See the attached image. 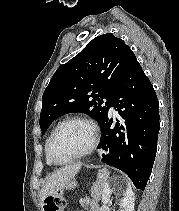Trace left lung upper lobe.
Instances as JSON below:
<instances>
[{
  "instance_id": "1",
  "label": "left lung upper lobe",
  "mask_w": 179,
  "mask_h": 211,
  "mask_svg": "<svg viewBox=\"0 0 179 211\" xmlns=\"http://www.w3.org/2000/svg\"><path fill=\"white\" fill-rule=\"evenodd\" d=\"M133 55L123 40L108 33L91 40L78 55L61 65L43 93V134L57 117L70 112L87 113L101 126L112 93ZM103 100H107L105 106Z\"/></svg>"
}]
</instances>
